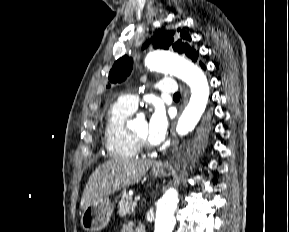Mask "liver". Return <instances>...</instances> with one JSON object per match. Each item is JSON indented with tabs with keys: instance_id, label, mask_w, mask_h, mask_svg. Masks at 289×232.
<instances>
[{
	"instance_id": "obj_1",
	"label": "liver",
	"mask_w": 289,
	"mask_h": 232,
	"mask_svg": "<svg viewBox=\"0 0 289 232\" xmlns=\"http://www.w3.org/2000/svg\"><path fill=\"white\" fill-rule=\"evenodd\" d=\"M151 165L152 161L143 159H114L100 165L91 174L84 188L81 209L97 199L138 183Z\"/></svg>"
}]
</instances>
